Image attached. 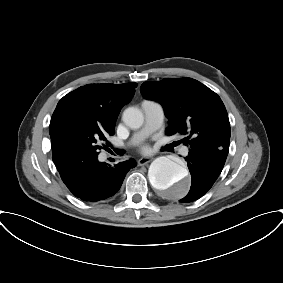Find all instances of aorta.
<instances>
[{"label": "aorta", "instance_id": "762f6f07", "mask_svg": "<svg viewBox=\"0 0 283 283\" xmlns=\"http://www.w3.org/2000/svg\"><path fill=\"white\" fill-rule=\"evenodd\" d=\"M122 120L130 128L137 129L142 126L144 117L140 109L129 107L124 110ZM148 177L155 189L169 190L175 199L184 197L189 190L186 168L167 156L158 157L150 164Z\"/></svg>", "mask_w": 283, "mask_h": 283}]
</instances>
